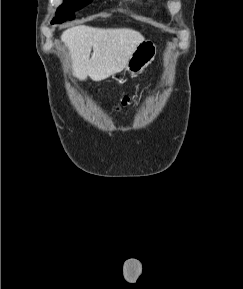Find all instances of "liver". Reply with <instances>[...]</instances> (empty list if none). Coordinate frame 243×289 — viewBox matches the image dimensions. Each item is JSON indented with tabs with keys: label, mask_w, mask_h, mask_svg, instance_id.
<instances>
[{
	"label": "liver",
	"mask_w": 243,
	"mask_h": 289,
	"mask_svg": "<svg viewBox=\"0 0 243 289\" xmlns=\"http://www.w3.org/2000/svg\"><path fill=\"white\" fill-rule=\"evenodd\" d=\"M61 40L69 50L73 75L79 80L89 76L101 81L125 69L131 54L145 39L129 28L78 25L65 30Z\"/></svg>",
	"instance_id": "obj_1"
}]
</instances>
